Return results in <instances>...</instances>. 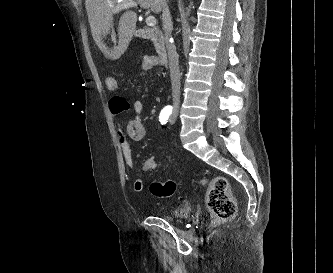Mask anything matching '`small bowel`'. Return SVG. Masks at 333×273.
I'll list each match as a JSON object with an SVG mask.
<instances>
[{
  "mask_svg": "<svg viewBox=\"0 0 333 273\" xmlns=\"http://www.w3.org/2000/svg\"><path fill=\"white\" fill-rule=\"evenodd\" d=\"M145 59L153 58L146 57ZM154 68V62L143 61L141 76H146V73H151L152 69ZM110 109L112 114L114 115V126L117 132L124 161L129 168H132L134 166V160L129 140L141 141L145 138L146 135V130L142 122L143 103L139 99L133 102L132 114L126 122L125 130L123 129V125L120 119V116L122 114H129V104L128 101H125V96H110ZM133 188L137 192L142 191L144 189L143 179L136 178L133 182Z\"/></svg>",
  "mask_w": 333,
  "mask_h": 273,
  "instance_id": "c3829d8e",
  "label": "small bowel"
}]
</instances>
